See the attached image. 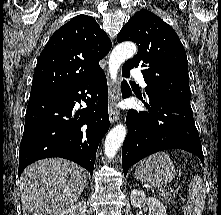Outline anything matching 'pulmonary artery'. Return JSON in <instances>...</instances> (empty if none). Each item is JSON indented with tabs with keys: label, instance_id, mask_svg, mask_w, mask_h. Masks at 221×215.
I'll list each match as a JSON object with an SVG mask.
<instances>
[{
	"label": "pulmonary artery",
	"instance_id": "obj_1",
	"mask_svg": "<svg viewBox=\"0 0 221 215\" xmlns=\"http://www.w3.org/2000/svg\"><path fill=\"white\" fill-rule=\"evenodd\" d=\"M131 76L133 78H135L136 80H138L141 83V86L143 88L146 87V83L144 82L142 73H141V71L139 69L133 68L132 71H131Z\"/></svg>",
	"mask_w": 221,
	"mask_h": 215
}]
</instances>
